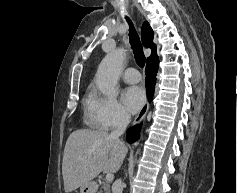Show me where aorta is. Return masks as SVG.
<instances>
[{
	"mask_svg": "<svg viewBox=\"0 0 237 193\" xmlns=\"http://www.w3.org/2000/svg\"><path fill=\"white\" fill-rule=\"evenodd\" d=\"M125 55V51L122 48H117L107 54L99 65L96 83L100 91L106 96L112 95L115 91Z\"/></svg>",
	"mask_w": 237,
	"mask_h": 193,
	"instance_id": "762f6f07",
	"label": "aorta"
}]
</instances>
